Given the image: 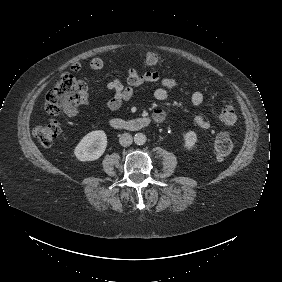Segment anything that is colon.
Segmentation results:
<instances>
[{"label": "colon", "mask_w": 282, "mask_h": 282, "mask_svg": "<svg viewBox=\"0 0 282 282\" xmlns=\"http://www.w3.org/2000/svg\"><path fill=\"white\" fill-rule=\"evenodd\" d=\"M162 56L155 51L143 54V64L147 66H158L162 64ZM87 100V87L85 83L68 73L58 77L52 88L46 95L45 110L50 115H56L61 110L70 109L74 106H82ZM220 121L226 126H235L238 115L234 108L224 106L219 114ZM60 126L57 121L41 124L35 129V136L44 145L53 143L59 134ZM234 144L231 137L221 133L214 138V150L219 158L227 157L233 150Z\"/></svg>", "instance_id": "5ec220e1"}]
</instances>
